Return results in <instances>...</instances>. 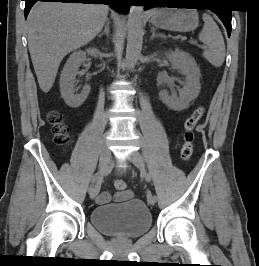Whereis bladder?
<instances>
[{
    "instance_id": "bladder-1",
    "label": "bladder",
    "mask_w": 259,
    "mask_h": 266,
    "mask_svg": "<svg viewBox=\"0 0 259 266\" xmlns=\"http://www.w3.org/2000/svg\"><path fill=\"white\" fill-rule=\"evenodd\" d=\"M90 221L105 235L134 239L151 229L152 215L142 200L132 198L122 204H107L93 208Z\"/></svg>"
}]
</instances>
